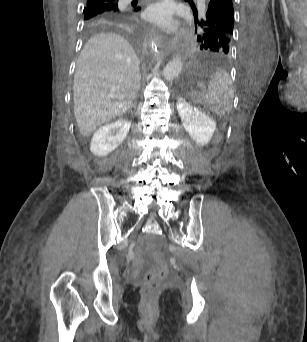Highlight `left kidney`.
Masks as SVG:
<instances>
[{
    "label": "left kidney",
    "mask_w": 307,
    "mask_h": 342,
    "mask_svg": "<svg viewBox=\"0 0 307 342\" xmlns=\"http://www.w3.org/2000/svg\"><path fill=\"white\" fill-rule=\"evenodd\" d=\"M177 112L181 118L183 128H185L192 140L199 146L209 144L216 130L215 120L210 116H206L198 108H193L184 100H178Z\"/></svg>",
    "instance_id": "1"
}]
</instances>
